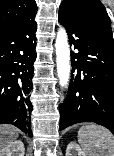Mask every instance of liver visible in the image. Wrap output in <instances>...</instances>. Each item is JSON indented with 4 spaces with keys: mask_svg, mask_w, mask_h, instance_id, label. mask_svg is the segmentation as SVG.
Masks as SVG:
<instances>
[{
    "mask_svg": "<svg viewBox=\"0 0 114 156\" xmlns=\"http://www.w3.org/2000/svg\"><path fill=\"white\" fill-rule=\"evenodd\" d=\"M18 137V129L12 125H0V151Z\"/></svg>",
    "mask_w": 114,
    "mask_h": 156,
    "instance_id": "1",
    "label": "liver"
}]
</instances>
